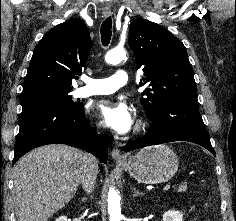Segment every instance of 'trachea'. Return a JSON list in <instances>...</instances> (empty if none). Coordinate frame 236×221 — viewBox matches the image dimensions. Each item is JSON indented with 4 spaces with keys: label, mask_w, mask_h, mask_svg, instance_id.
<instances>
[{
    "label": "trachea",
    "mask_w": 236,
    "mask_h": 221,
    "mask_svg": "<svg viewBox=\"0 0 236 221\" xmlns=\"http://www.w3.org/2000/svg\"><path fill=\"white\" fill-rule=\"evenodd\" d=\"M112 20L108 17L101 25V41L104 46H108L112 36Z\"/></svg>",
    "instance_id": "trachea-1"
}]
</instances>
